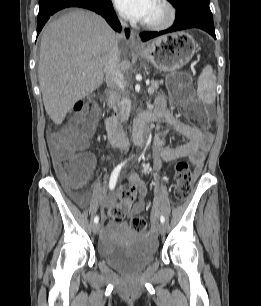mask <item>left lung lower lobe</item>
Segmentation results:
<instances>
[{
    "instance_id": "obj_1",
    "label": "left lung lower lobe",
    "mask_w": 261,
    "mask_h": 306,
    "mask_svg": "<svg viewBox=\"0 0 261 306\" xmlns=\"http://www.w3.org/2000/svg\"><path fill=\"white\" fill-rule=\"evenodd\" d=\"M188 28H200L216 39L213 16L209 8V3L202 1L185 2L176 8V19L173 26L160 32H143L140 34V37L142 41H147L163 34Z\"/></svg>"
}]
</instances>
